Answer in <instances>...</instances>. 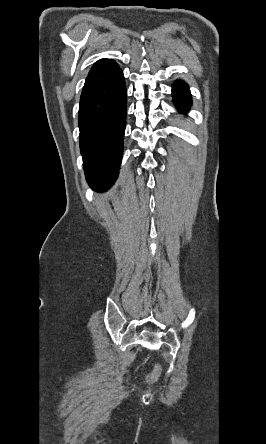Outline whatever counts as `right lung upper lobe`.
<instances>
[{
	"mask_svg": "<svg viewBox=\"0 0 266 444\" xmlns=\"http://www.w3.org/2000/svg\"><path fill=\"white\" fill-rule=\"evenodd\" d=\"M107 61H108V59H101V60L97 61V62L93 65V67L91 68V70H90L89 73H91L92 71H94L95 69H97L98 67H100L102 64H104V63L107 62Z\"/></svg>",
	"mask_w": 266,
	"mask_h": 444,
	"instance_id": "obj_1",
	"label": "right lung upper lobe"
}]
</instances>
